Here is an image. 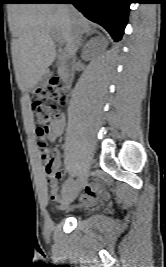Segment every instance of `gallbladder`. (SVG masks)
<instances>
[{
	"label": "gallbladder",
	"mask_w": 166,
	"mask_h": 267,
	"mask_svg": "<svg viewBox=\"0 0 166 267\" xmlns=\"http://www.w3.org/2000/svg\"><path fill=\"white\" fill-rule=\"evenodd\" d=\"M52 74L53 73L50 70L45 71L44 74L38 80L37 84L33 87V90L37 88L46 87L49 79L52 77Z\"/></svg>",
	"instance_id": "1"
}]
</instances>
